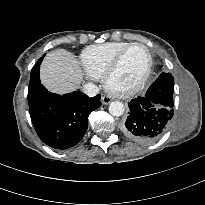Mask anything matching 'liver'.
Returning <instances> with one entry per match:
<instances>
[{
	"instance_id": "liver-1",
	"label": "liver",
	"mask_w": 205,
	"mask_h": 205,
	"mask_svg": "<svg viewBox=\"0 0 205 205\" xmlns=\"http://www.w3.org/2000/svg\"><path fill=\"white\" fill-rule=\"evenodd\" d=\"M42 84L51 92L63 94L77 89L83 79L76 57L57 49L47 54L40 68Z\"/></svg>"
}]
</instances>
